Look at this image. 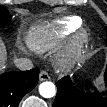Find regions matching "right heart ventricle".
Segmentation results:
<instances>
[{
  "label": "right heart ventricle",
  "instance_id": "1",
  "mask_svg": "<svg viewBox=\"0 0 107 107\" xmlns=\"http://www.w3.org/2000/svg\"><path fill=\"white\" fill-rule=\"evenodd\" d=\"M80 25L81 19L79 17L68 16L48 24L36 26L30 31L29 45L39 53L51 51L58 47Z\"/></svg>",
  "mask_w": 107,
  "mask_h": 107
}]
</instances>
